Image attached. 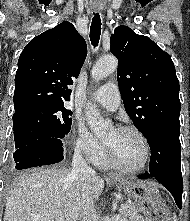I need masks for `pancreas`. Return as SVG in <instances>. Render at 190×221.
I'll return each mask as SVG.
<instances>
[{
	"mask_svg": "<svg viewBox=\"0 0 190 221\" xmlns=\"http://www.w3.org/2000/svg\"><path fill=\"white\" fill-rule=\"evenodd\" d=\"M126 205L128 208L123 209L121 212L125 217H128L130 221H145L133 203H126Z\"/></svg>",
	"mask_w": 190,
	"mask_h": 221,
	"instance_id": "1",
	"label": "pancreas"
}]
</instances>
